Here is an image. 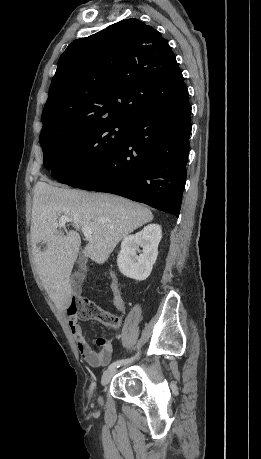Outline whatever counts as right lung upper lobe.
<instances>
[{
  "label": "right lung upper lobe",
  "mask_w": 261,
  "mask_h": 459,
  "mask_svg": "<svg viewBox=\"0 0 261 459\" xmlns=\"http://www.w3.org/2000/svg\"><path fill=\"white\" fill-rule=\"evenodd\" d=\"M186 88L168 42L137 19L73 41L58 61L42 112V132L134 119Z\"/></svg>",
  "instance_id": "right-lung-upper-lobe-1"
}]
</instances>
